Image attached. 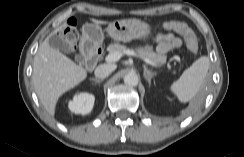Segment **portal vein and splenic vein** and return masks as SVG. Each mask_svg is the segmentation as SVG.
<instances>
[{
	"mask_svg": "<svg viewBox=\"0 0 244 157\" xmlns=\"http://www.w3.org/2000/svg\"><path fill=\"white\" fill-rule=\"evenodd\" d=\"M125 54L130 55V56H135L138 57L140 59H142L144 62H146L147 64H150L152 66H157V64H155L153 61H151L149 58L142 56V55H138L136 52H134L133 50H126ZM122 57L121 53L115 52V53H111L109 55H107L105 57V61L107 63H112V62H116L118 61L120 58ZM176 59L179 61V57H176Z\"/></svg>",
	"mask_w": 244,
	"mask_h": 157,
	"instance_id": "portal-vein-and-splenic-vein-1",
	"label": "portal vein and splenic vein"
}]
</instances>
